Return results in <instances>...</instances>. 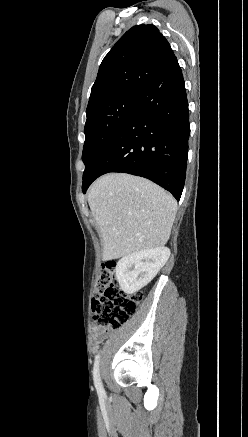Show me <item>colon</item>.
<instances>
[{
  "mask_svg": "<svg viewBox=\"0 0 248 437\" xmlns=\"http://www.w3.org/2000/svg\"><path fill=\"white\" fill-rule=\"evenodd\" d=\"M141 300V293L128 295L119 288L114 263L104 264L91 300L94 326L104 329L120 327L136 313Z\"/></svg>",
  "mask_w": 248,
  "mask_h": 437,
  "instance_id": "obj_1",
  "label": "colon"
}]
</instances>
